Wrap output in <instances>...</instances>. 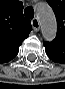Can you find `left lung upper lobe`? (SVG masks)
<instances>
[{
    "label": "left lung upper lobe",
    "instance_id": "obj_1",
    "mask_svg": "<svg viewBox=\"0 0 65 89\" xmlns=\"http://www.w3.org/2000/svg\"><path fill=\"white\" fill-rule=\"evenodd\" d=\"M57 20V35L54 40L65 43V0H47Z\"/></svg>",
    "mask_w": 65,
    "mask_h": 89
}]
</instances>
